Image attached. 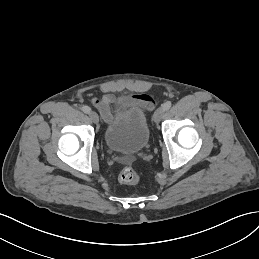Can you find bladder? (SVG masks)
<instances>
[{"label":"bladder","mask_w":259,"mask_h":259,"mask_svg":"<svg viewBox=\"0 0 259 259\" xmlns=\"http://www.w3.org/2000/svg\"><path fill=\"white\" fill-rule=\"evenodd\" d=\"M149 139L150 130L146 113L137 105L117 112L104 133L107 148L120 154H136L145 150Z\"/></svg>","instance_id":"1"}]
</instances>
